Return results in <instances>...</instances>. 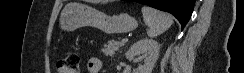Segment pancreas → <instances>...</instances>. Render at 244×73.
<instances>
[{
    "mask_svg": "<svg viewBox=\"0 0 244 73\" xmlns=\"http://www.w3.org/2000/svg\"><path fill=\"white\" fill-rule=\"evenodd\" d=\"M124 43L115 41V40H110L108 41L107 44L104 45L102 52L106 56H114L116 54V51L119 49V47L123 46Z\"/></svg>",
    "mask_w": 244,
    "mask_h": 73,
    "instance_id": "obj_1",
    "label": "pancreas"
}]
</instances>
